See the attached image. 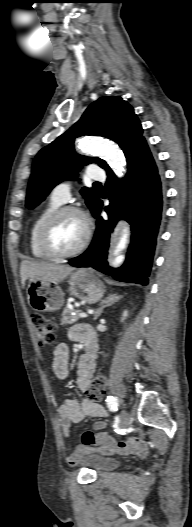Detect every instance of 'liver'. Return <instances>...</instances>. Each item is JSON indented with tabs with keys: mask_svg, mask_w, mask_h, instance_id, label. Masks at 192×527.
Returning a JSON list of instances; mask_svg holds the SVG:
<instances>
[{
	"mask_svg": "<svg viewBox=\"0 0 192 527\" xmlns=\"http://www.w3.org/2000/svg\"><path fill=\"white\" fill-rule=\"evenodd\" d=\"M74 271V267L44 261L23 260L20 266L22 286L28 278L37 279L58 285Z\"/></svg>",
	"mask_w": 192,
	"mask_h": 527,
	"instance_id": "6515ba94",
	"label": "liver"
}]
</instances>
